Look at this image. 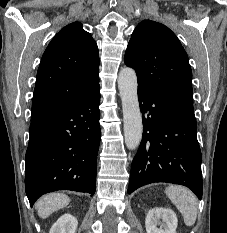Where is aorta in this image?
<instances>
[{
    "instance_id": "762f6f07",
    "label": "aorta",
    "mask_w": 227,
    "mask_h": 233,
    "mask_svg": "<svg viewBox=\"0 0 227 233\" xmlns=\"http://www.w3.org/2000/svg\"><path fill=\"white\" fill-rule=\"evenodd\" d=\"M137 87L135 71L129 67L121 69L118 76V88L122 101L125 144L130 150L139 146L143 133Z\"/></svg>"
}]
</instances>
